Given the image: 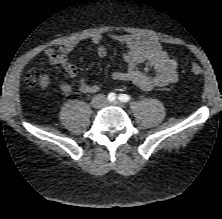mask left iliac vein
I'll use <instances>...</instances> for the list:
<instances>
[{"instance_id": "4c4485c4", "label": "left iliac vein", "mask_w": 222, "mask_h": 219, "mask_svg": "<svg viewBox=\"0 0 222 219\" xmlns=\"http://www.w3.org/2000/svg\"><path fill=\"white\" fill-rule=\"evenodd\" d=\"M114 104L122 106V103H120V102H114Z\"/></svg>"}]
</instances>
